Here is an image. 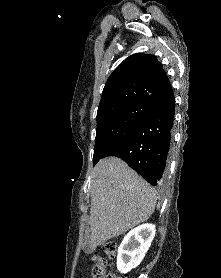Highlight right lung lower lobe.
I'll return each instance as SVG.
<instances>
[{"label":"right lung lower lobe","instance_id":"obj_1","mask_svg":"<svg viewBox=\"0 0 221 278\" xmlns=\"http://www.w3.org/2000/svg\"><path fill=\"white\" fill-rule=\"evenodd\" d=\"M150 113L125 137L112 145L101 158L123 159L150 184L163 178L172 137L175 100L172 88L150 97Z\"/></svg>","mask_w":221,"mask_h":278}]
</instances>
